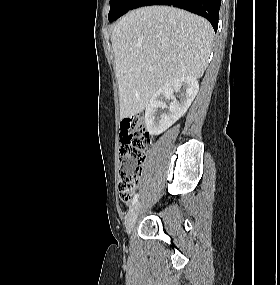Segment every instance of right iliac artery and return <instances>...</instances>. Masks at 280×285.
<instances>
[{"label": "right iliac artery", "instance_id": "right-iliac-artery-1", "mask_svg": "<svg viewBox=\"0 0 280 285\" xmlns=\"http://www.w3.org/2000/svg\"><path fill=\"white\" fill-rule=\"evenodd\" d=\"M138 197H139V194H135L132 201H131V206H134L136 204V202L138 201Z\"/></svg>", "mask_w": 280, "mask_h": 285}]
</instances>
